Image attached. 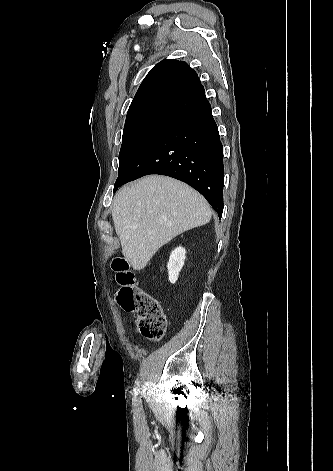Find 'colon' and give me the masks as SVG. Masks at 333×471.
<instances>
[{"label": "colon", "mask_w": 333, "mask_h": 471, "mask_svg": "<svg viewBox=\"0 0 333 471\" xmlns=\"http://www.w3.org/2000/svg\"><path fill=\"white\" fill-rule=\"evenodd\" d=\"M111 267L119 286L118 303L137 314V325L143 336L160 340L165 334L166 318L159 301L136 285L135 275L125 259H114Z\"/></svg>", "instance_id": "1"}]
</instances>
